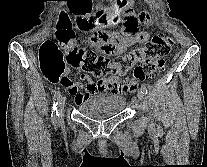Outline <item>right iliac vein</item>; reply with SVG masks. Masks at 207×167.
<instances>
[{"label":"right iliac vein","mask_w":207,"mask_h":167,"mask_svg":"<svg viewBox=\"0 0 207 167\" xmlns=\"http://www.w3.org/2000/svg\"><path fill=\"white\" fill-rule=\"evenodd\" d=\"M64 106H65V98L61 97L59 99V103H58V114H59L60 117H62V115H63Z\"/></svg>","instance_id":"1"}]
</instances>
